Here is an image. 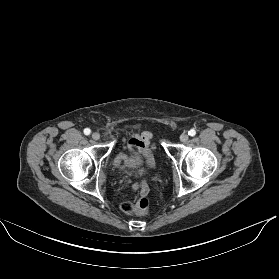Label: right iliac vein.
Wrapping results in <instances>:
<instances>
[{"label": "right iliac vein", "instance_id": "1", "mask_svg": "<svg viewBox=\"0 0 279 279\" xmlns=\"http://www.w3.org/2000/svg\"><path fill=\"white\" fill-rule=\"evenodd\" d=\"M100 137H101L100 134L97 133V132H94V133L92 134V139L95 140V141L99 140Z\"/></svg>", "mask_w": 279, "mask_h": 279}]
</instances>
